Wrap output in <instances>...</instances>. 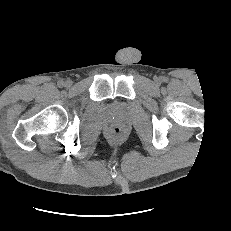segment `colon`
Here are the masks:
<instances>
[{
  "mask_svg": "<svg viewBox=\"0 0 231 231\" xmlns=\"http://www.w3.org/2000/svg\"><path fill=\"white\" fill-rule=\"evenodd\" d=\"M113 132H114V135L118 136L121 130L119 128H115Z\"/></svg>",
  "mask_w": 231,
  "mask_h": 231,
  "instance_id": "colon-1",
  "label": "colon"
}]
</instances>
